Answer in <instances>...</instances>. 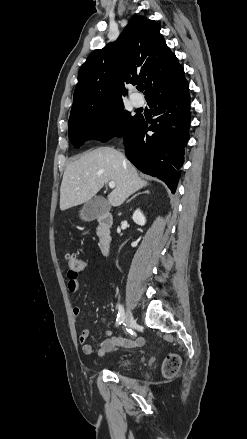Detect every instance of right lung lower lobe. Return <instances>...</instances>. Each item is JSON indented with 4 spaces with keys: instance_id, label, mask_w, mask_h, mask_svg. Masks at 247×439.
Returning a JSON list of instances; mask_svg holds the SVG:
<instances>
[{
    "instance_id": "right-lung-lower-lobe-1",
    "label": "right lung lower lobe",
    "mask_w": 247,
    "mask_h": 439,
    "mask_svg": "<svg viewBox=\"0 0 247 439\" xmlns=\"http://www.w3.org/2000/svg\"><path fill=\"white\" fill-rule=\"evenodd\" d=\"M156 119L139 115L122 136L127 158L142 172L163 180L174 193L189 140L190 95L187 81L147 100ZM152 131L153 133H149Z\"/></svg>"
}]
</instances>
